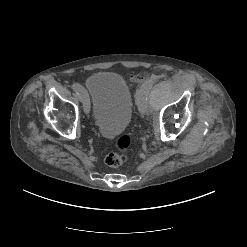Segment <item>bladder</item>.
<instances>
[{
  "label": "bladder",
  "instance_id": "31cf9c89",
  "mask_svg": "<svg viewBox=\"0 0 247 247\" xmlns=\"http://www.w3.org/2000/svg\"><path fill=\"white\" fill-rule=\"evenodd\" d=\"M91 101V117L105 137L121 133L133 114V95L124 78L114 72H98L86 81Z\"/></svg>",
  "mask_w": 247,
  "mask_h": 247
}]
</instances>
